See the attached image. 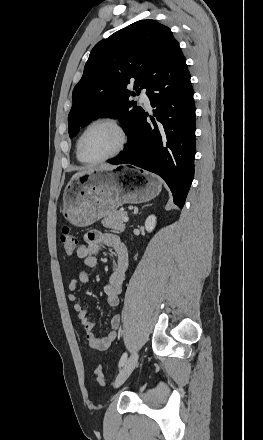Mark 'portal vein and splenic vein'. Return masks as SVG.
Masks as SVG:
<instances>
[{
  "instance_id": "1",
  "label": "portal vein and splenic vein",
  "mask_w": 263,
  "mask_h": 440,
  "mask_svg": "<svg viewBox=\"0 0 263 440\" xmlns=\"http://www.w3.org/2000/svg\"><path fill=\"white\" fill-rule=\"evenodd\" d=\"M122 220H123V222H128V221H129V218H128L127 215H126V216H123Z\"/></svg>"
}]
</instances>
